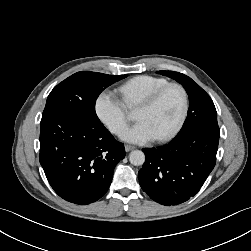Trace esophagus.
<instances>
[{
    "instance_id": "1",
    "label": "esophagus",
    "mask_w": 251,
    "mask_h": 251,
    "mask_svg": "<svg viewBox=\"0 0 251 251\" xmlns=\"http://www.w3.org/2000/svg\"><path fill=\"white\" fill-rule=\"evenodd\" d=\"M135 147L134 146H130V145H125V151L129 152L131 150H133Z\"/></svg>"
}]
</instances>
